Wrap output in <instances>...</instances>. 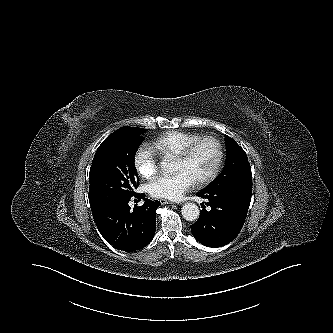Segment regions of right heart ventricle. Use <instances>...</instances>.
I'll return each instance as SVG.
<instances>
[{"label":"right heart ventricle","instance_id":"right-heart-ventricle-1","mask_svg":"<svg viewBox=\"0 0 333 333\" xmlns=\"http://www.w3.org/2000/svg\"><path fill=\"white\" fill-rule=\"evenodd\" d=\"M199 137L196 133L169 131L155 139L150 147L159 156L175 158L190 142Z\"/></svg>","mask_w":333,"mask_h":333}]
</instances>
